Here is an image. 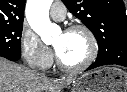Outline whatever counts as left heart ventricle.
I'll return each instance as SVG.
<instances>
[{
  "label": "left heart ventricle",
  "instance_id": "b2bd125f",
  "mask_svg": "<svg viewBox=\"0 0 127 92\" xmlns=\"http://www.w3.org/2000/svg\"><path fill=\"white\" fill-rule=\"evenodd\" d=\"M53 43L60 59L70 66L82 63L90 51L89 40L87 36L80 31L59 33L54 38Z\"/></svg>",
  "mask_w": 127,
  "mask_h": 92
}]
</instances>
